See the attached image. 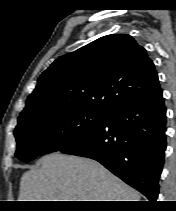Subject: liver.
I'll return each mask as SVG.
<instances>
[{
  "mask_svg": "<svg viewBox=\"0 0 176 211\" xmlns=\"http://www.w3.org/2000/svg\"><path fill=\"white\" fill-rule=\"evenodd\" d=\"M22 175L18 201H139L140 195L95 160L54 152Z\"/></svg>",
  "mask_w": 176,
  "mask_h": 211,
  "instance_id": "obj_1",
  "label": "liver"
}]
</instances>
